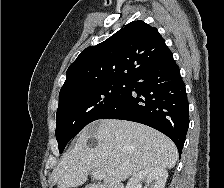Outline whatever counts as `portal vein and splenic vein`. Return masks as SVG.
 I'll return each instance as SVG.
<instances>
[{
    "instance_id": "18ae733b",
    "label": "portal vein and splenic vein",
    "mask_w": 224,
    "mask_h": 188,
    "mask_svg": "<svg viewBox=\"0 0 224 188\" xmlns=\"http://www.w3.org/2000/svg\"><path fill=\"white\" fill-rule=\"evenodd\" d=\"M92 175L97 180H102L104 178V173H103L102 170L93 169L92 170Z\"/></svg>"
}]
</instances>
